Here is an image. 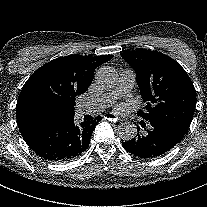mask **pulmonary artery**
I'll return each instance as SVG.
<instances>
[{"instance_id":"e3ab8cb5","label":"pulmonary artery","mask_w":207,"mask_h":207,"mask_svg":"<svg viewBox=\"0 0 207 207\" xmlns=\"http://www.w3.org/2000/svg\"><path fill=\"white\" fill-rule=\"evenodd\" d=\"M134 83V72L130 70H123L120 72L116 90L110 94H106L99 98H94L85 102L83 105L84 113L91 114L105 109L118 95L128 92L133 87Z\"/></svg>"}]
</instances>
